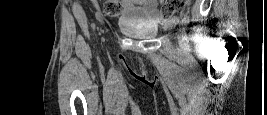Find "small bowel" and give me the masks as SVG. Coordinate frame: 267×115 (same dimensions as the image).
<instances>
[{"label":"small bowel","mask_w":267,"mask_h":115,"mask_svg":"<svg viewBox=\"0 0 267 115\" xmlns=\"http://www.w3.org/2000/svg\"><path fill=\"white\" fill-rule=\"evenodd\" d=\"M126 3L129 8L141 7L149 14L151 18H158L157 0L127 1Z\"/></svg>","instance_id":"small-bowel-1"}]
</instances>
